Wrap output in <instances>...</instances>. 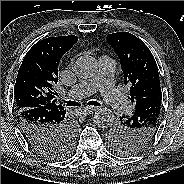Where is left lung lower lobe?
Instances as JSON below:
<instances>
[{"label":"left lung lower lobe","mask_w":184,"mask_h":184,"mask_svg":"<svg viewBox=\"0 0 184 184\" xmlns=\"http://www.w3.org/2000/svg\"><path fill=\"white\" fill-rule=\"evenodd\" d=\"M161 100L162 99L160 98H154L144 102V104L135 110L134 116L142 120L146 115H153V113L156 114V112L161 109Z\"/></svg>","instance_id":"obj_1"}]
</instances>
